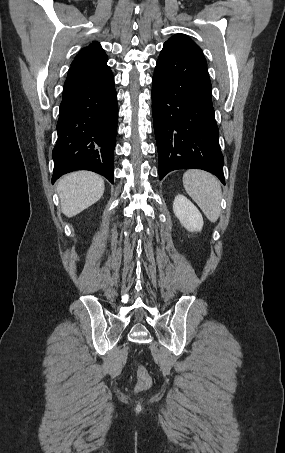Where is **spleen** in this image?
Returning <instances> with one entry per match:
<instances>
[{
  "label": "spleen",
  "mask_w": 285,
  "mask_h": 453,
  "mask_svg": "<svg viewBox=\"0 0 285 453\" xmlns=\"http://www.w3.org/2000/svg\"><path fill=\"white\" fill-rule=\"evenodd\" d=\"M183 185L186 192L209 221L215 223L221 212L222 191L220 181L208 172L188 170L183 175Z\"/></svg>",
  "instance_id": "3e777b00"
}]
</instances>
